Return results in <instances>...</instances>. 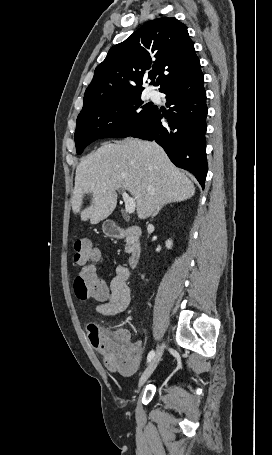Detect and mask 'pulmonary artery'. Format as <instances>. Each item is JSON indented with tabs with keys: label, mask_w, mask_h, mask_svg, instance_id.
Segmentation results:
<instances>
[{
	"label": "pulmonary artery",
	"mask_w": 272,
	"mask_h": 455,
	"mask_svg": "<svg viewBox=\"0 0 272 455\" xmlns=\"http://www.w3.org/2000/svg\"><path fill=\"white\" fill-rule=\"evenodd\" d=\"M149 95L151 99H158L159 97V94L156 91H151Z\"/></svg>",
	"instance_id": "obj_1"
}]
</instances>
